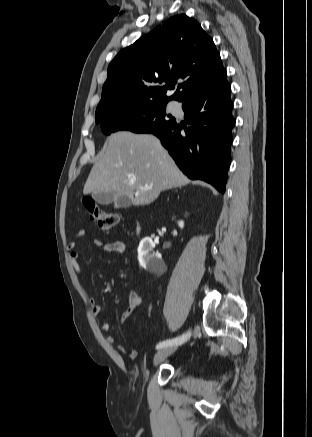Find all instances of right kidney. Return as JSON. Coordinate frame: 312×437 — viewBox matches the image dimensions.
Segmentation results:
<instances>
[{
	"label": "right kidney",
	"instance_id": "ca27d5eb",
	"mask_svg": "<svg viewBox=\"0 0 312 437\" xmlns=\"http://www.w3.org/2000/svg\"><path fill=\"white\" fill-rule=\"evenodd\" d=\"M178 224L181 228L183 227L182 221ZM154 247L155 243L149 237L142 239L138 247L139 263L143 268L149 271H156L164 266L161 256L158 253L152 252Z\"/></svg>",
	"mask_w": 312,
	"mask_h": 437
}]
</instances>
